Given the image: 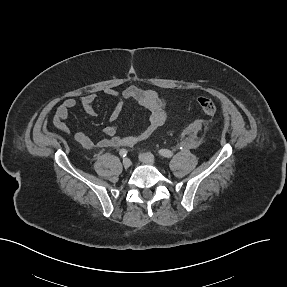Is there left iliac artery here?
<instances>
[{"mask_svg": "<svg viewBox=\"0 0 287 287\" xmlns=\"http://www.w3.org/2000/svg\"><path fill=\"white\" fill-rule=\"evenodd\" d=\"M184 147H185L184 144L180 145V149H183ZM159 154L163 157H166V158H171L173 156V153L168 149L159 150Z\"/></svg>", "mask_w": 287, "mask_h": 287, "instance_id": "1", "label": "left iliac artery"}]
</instances>
